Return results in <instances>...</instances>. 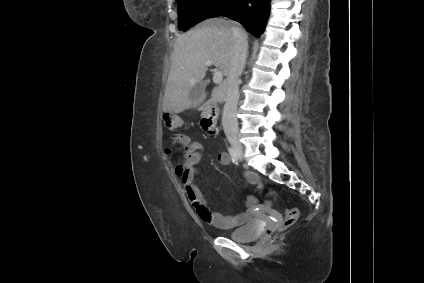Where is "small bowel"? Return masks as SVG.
<instances>
[{"instance_id": "1", "label": "small bowel", "mask_w": 424, "mask_h": 283, "mask_svg": "<svg viewBox=\"0 0 424 283\" xmlns=\"http://www.w3.org/2000/svg\"><path fill=\"white\" fill-rule=\"evenodd\" d=\"M174 143L182 149L183 158V162L175 168V174L180 179L187 198L196 210L200 219L221 229H232L246 222L250 216L249 211L238 215H224L218 212H213L203 198L195 183L196 177L200 173L198 164L202 159V144L198 141L192 140L185 134L176 135L174 137ZM218 161L221 165H229L231 158L226 152H220L218 154ZM244 175L251 184L257 186L261 185L258 176L254 172L247 171Z\"/></svg>"}]
</instances>
